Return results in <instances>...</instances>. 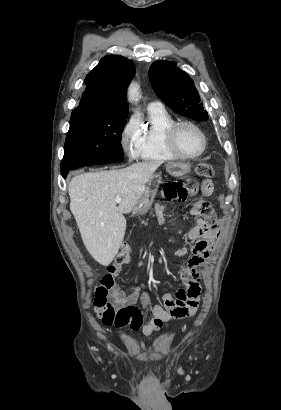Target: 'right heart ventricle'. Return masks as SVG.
Returning a JSON list of instances; mask_svg holds the SVG:
<instances>
[{"instance_id":"obj_1","label":"right heart ventricle","mask_w":281,"mask_h":410,"mask_svg":"<svg viewBox=\"0 0 281 410\" xmlns=\"http://www.w3.org/2000/svg\"><path fill=\"white\" fill-rule=\"evenodd\" d=\"M175 118L163 107H148L146 121L141 125L137 157L144 161L164 162L179 159L168 147L166 131Z\"/></svg>"}]
</instances>
